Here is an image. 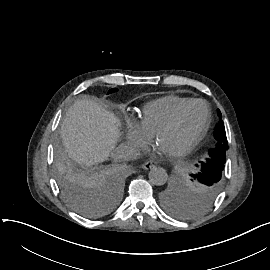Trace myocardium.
<instances>
[{
  "mask_svg": "<svg viewBox=\"0 0 270 270\" xmlns=\"http://www.w3.org/2000/svg\"><path fill=\"white\" fill-rule=\"evenodd\" d=\"M201 104L205 109V122L200 129V131L196 134V136L183 148L176 151V154L179 156L186 155L190 153L201 141L205 133L207 132L210 122H211V112L208 105L202 100H194L189 104L185 105L181 108L172 118L169 119L156 133L155 137L158 138L160 134L174 129L182 120L184 114L193 106Z\"/></svg>",
  "mask_w": 270,
  "mask_h": 270,
  "instance_id": "myocardium-1",
  "label": "myocardium"
}]
</instances>
